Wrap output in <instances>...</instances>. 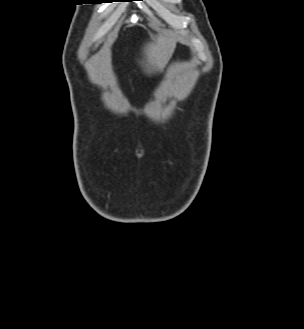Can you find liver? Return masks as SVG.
Listing matches in <instances>:
<instances>
[{
	"label": "liver",
	"instance_id": "1",
	"mask_svg": "<svg viewBox=\"0 0 304 329\" xmlns=\"http://www.w3.org/2000/svg\"><path fill=\"white\" fill-rule=\"evenodd\" d=\"M176 41L174 34L162 31L144 46L141 63L148 74L163 70L174 52Z\"/></svg>",
	"mask_w": 304,
	"mask_h": 329
}]
</instances>
